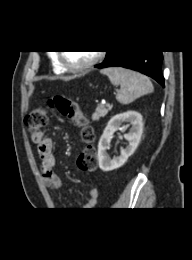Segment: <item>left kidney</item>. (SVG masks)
Segmentation results:
<instances>
[{"instance_id": "1", "label": "left kidney", "mask_w": 192, "mask_h": 260, "mask_svg": "<svg viewBox=\"0 0 192 260\" xmlns=\"http://www.w3.org/2000/svg\"><path fill=\"white\" fill-rule=\"evenodd\" d=\"M128 123L131 125L129 133L124 135V138L128 141V145L125 149L121 150L119 156H115L112 159L107 155V149L113 134L120 129L122 123ZM125 126L122 127L124 129ZM143 133V117L136 111H127L124 113L113 116L98 143V162L102 171L108 172L121 167L127 159L135 152L140 142Z\"/></svg>"}]
</instances>
